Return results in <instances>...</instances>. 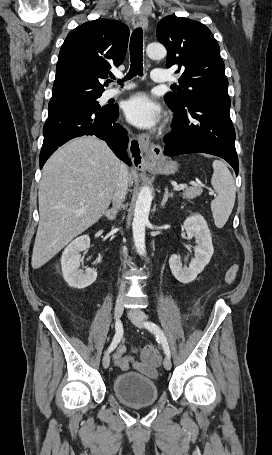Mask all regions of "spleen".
<instances>
[{"mask_svg": "<svg viewBox=\"0 0 272 455\" xmlns=\"http://www.w3.org/2000/svg\"><path fill=\"white\" fill-rule=\"evenodd\" d=\"M213 169L211 184L217 193V197L211 201V210L216 227L222 228L233 210L236 187L225 163L215 160Z\"/></svg>", "mask_w": 272, "mask_h": 455, "instance_id": "3e777b00", "label": "spleen"}]
</instances>
